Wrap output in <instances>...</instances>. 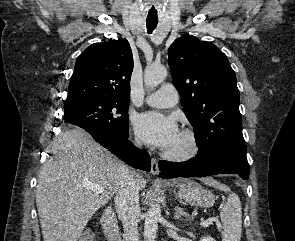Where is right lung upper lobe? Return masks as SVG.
Instances as JSON below:
<instances>
[{
    "mask_svg": "<svg viewBox=\"0 0 295 241\" xmlns=\"http://www.w3.org/2000/svg\"><path fill=\"white\" fill-rule=\"evenodd\" d=\"M132 70L126 39L92 44L77 58L65 109L89 101L129 102Z\"/></svg>",
    "mask_w": 295,
    "mask_h": 241,
    "instance_id": "obj_1",
    "label": "right lung upper lobe"
}]
</instances>
